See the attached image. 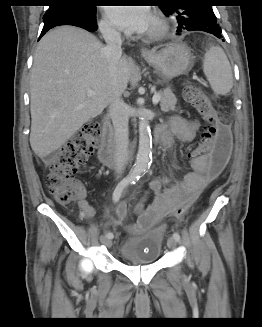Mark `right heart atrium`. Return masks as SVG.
<instances>
[{
	"instance_id": "d8ad5b80",
	"label": "right heart atrium",
	"mask_w": 262,
	"mask_h": 327,
	"mask_svg": "<svg viewBox=\"0 0 262 327\" xmlns=\"http://www.w3.org/2000/svg\"><path fill=\"white\" fill-rule=\"evenodd\" d=\"M99 29L103 36L107 38H117L120 36L118 30L114 27V25L106 18L103 17L99 22Z\"/></svg>"
}]
</instances>
